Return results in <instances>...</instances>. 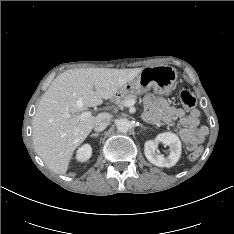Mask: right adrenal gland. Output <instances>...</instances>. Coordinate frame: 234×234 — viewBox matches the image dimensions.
Returning <instances> with one entry per match:
<instances>
[{
  "mask_svg": "<svg viewBox=\"0 0 234 234\" xmlns=\"http://www.w3.org/2000/svg\"><path fill=\"white\" fill-rule=\"evenodd\" d=\"M99 135H100V133H93V134L90 135V137H95V138H96V137H98Z\"/></svg>",
  "mask_w": 234,
  "mask_h": 234,
  "instance_id": "obj_1",
  "label": "right adrenal gland"
}]
</instances>
